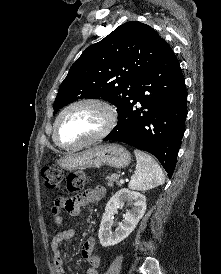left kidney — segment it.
Instances as JSON below:
<instances>
[{
    "mask_svg": "<svg viewBox=\"0 0 221 274\" xmlns=\"http://www.w3.org/2000/svg\"><path fill=\"white\" fill-rule=\"evenodd\" d=\"M125 201L131 205V210L123 215V221L120 222L116 230L112 232L111 227L114 212L123 206ZM145 210L146 197L143 194L125 188L116 192L108 201L101 220L98 234L100 244L103 247L114 246L127 238L136 228Z\"/></svg>",
    "mask_w": 221,
    "mask_h": 274,
    "instance_id": "left-kidney-1",
    "label": "left kidney"
}]
</instances>
